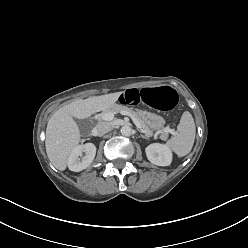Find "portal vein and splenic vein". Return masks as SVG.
Listing matches in <instances>:
<instances>
[{"instance_id":"obj_1","label":"portal vein and splenic vein","mask_w":248,"mask_h":248,"mask_svg":"<svg viewBox=\"0 0 248 248\" xmlns=\"http://www.w3.org/2000/svg\"><path fill=\"white\" fill-rule=\"evenodd\" d=\"M122 115H127V116H130L132 121L134 122V124L138 127V128H142L140 123L133 117L131 116L129 113L125 112V111H122L121 112ZM114 118V114L111 113V112H108V113H104L101 115V119L104 120V121H111L113 120ZM141 131L143 132V130L141 129ZM160 133H171L173 135H175L176 133L172 130V129H169V128H165L163 131H160Z\"/></svg>"}]
</instances>
